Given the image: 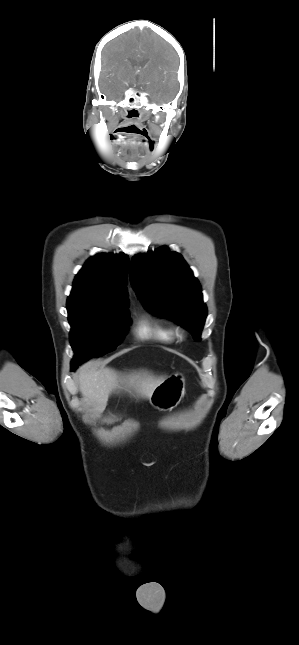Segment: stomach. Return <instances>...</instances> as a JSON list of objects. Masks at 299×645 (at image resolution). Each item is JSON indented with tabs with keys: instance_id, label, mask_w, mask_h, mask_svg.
<instances>
[{
	"instance_id": "0dacf381",
	"label": "stomach",
	"mask_w": 299,
	"mask_h": 645,
	"mask_svg": "<svg viewBox=\"0 0 299 645\" xmlns=\"http://www.w3.org/2000/svg\"><path fill=\"white\" fill-rule=\"evenodd\" d=\"M185 378L177 373L164 379L149 398L150 404L161 411L172 410L184 397Z\"/></svg>"
}]
</instances>
